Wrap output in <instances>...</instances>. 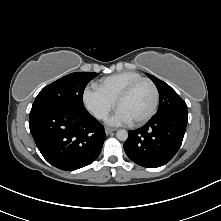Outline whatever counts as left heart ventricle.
Returning a JSON list of instances; mask_svg holds the SVG:
<instances>
[{
  "label": "left heart ventricle",
  "mask_w": 221,
  "mask_h": 221,
  "mask_svg": "<svg viewBox=\"0 0 221 221\" xmlns=\"http://www.w3.org/2000/svg\"><path fill=\"white\" fill-rule=\"evenodd\" d=\"M154 102V91L152 86L141 83L134 91L119 105L131 121L144 117L151 110Z\"/></svg>",
  "instance_id": "obj_1"
}]
</instances>
